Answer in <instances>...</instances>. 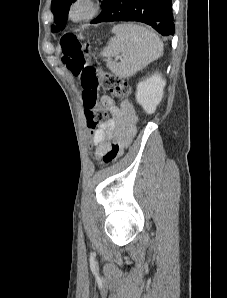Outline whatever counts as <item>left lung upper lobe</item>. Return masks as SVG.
Returning a JSON list of instances; mask_svg holds the SVG:
<instances>
[{
	"mask_svg": "<svg viewBox=\"0 0 227 298\" xmlns=\"http://www.w3.org/2000/svg\"><path fill=\"white\" fill-rule=\"evenodd\" d=\"M76 0H52L51 3V11L54 14L55 25L52 26V32H58L63 30L66 25V21L68 18V11L70 6ZM108 0H102V12L101 14L92 21V23H98L100 16L103 14Z\"/></svg>",
	"mask_w": 227,
	"mask_h": 298,
	"instance_id": "5c2ea615",
	"label": "left lung upper lobe"
}]
</instances>
